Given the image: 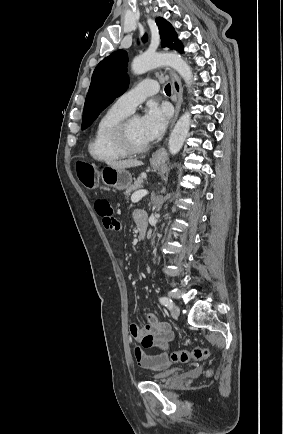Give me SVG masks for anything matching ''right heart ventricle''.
Returning <instances> with one entry per match:
<instances>
[{
	"mask_svg": "<svg viewBox=\"0 0 283 434\" xmlns=\"http://www.w3.org/2000/svg\"><path fill=\"white\" fill-rule=\"evenodd\" d=\"M129 114L130 112L113 105L100 117L88 144L93 159L110 163L127 157L128 154L115 141L114 130Z\"/></svg>",
	"mask_w": 283,
	"mask_h": 434,
	"instance_id": "obj_1",
	"label": "right heart ventricle"
}]
</instances>
